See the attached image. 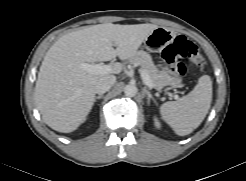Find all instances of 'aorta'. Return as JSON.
Instances as JSON below:
<instances>
[{
	"instance_id": "obj_1",
	"label": "aorta",
	"mask_w": 246,
	"mask_h": 181,
	"mask_svg": "<svg viewBox=\"0 0 246 181\" xmlns=\"http://www.w3.org/2000/svg\"><path fill=\"white\" fill-rule=\"evenodd\" d=\"M137 92H138V89L135 85L128 84L124 87V93L128 97L136 96Z\"/></svg>"
}]
</instances>
